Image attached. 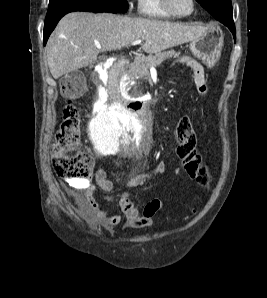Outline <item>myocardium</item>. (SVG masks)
I'll return each mask as SVG.
<instances>
[{"mask_svg": "<svg viewBox=\"0 0 267 298\" xmlns=\"http://www.w3.org/2000/svg\"><path fill=\"white\" fill-rule=\"evenodd\" d=\"M161 2V5L163 7V9L168 12L170 15H172L173 17H176V18H186V17H189L191 16L195 9H196V1L195 0H191L192 2V8H191V11L187 14H179L177 13L171 6V3H170V0H160Z\"/></svg>", "mask_w": 267, "mask_h": 298, "instance_id": "myocardium-1", "label": "myocardium"}]
</instances>
